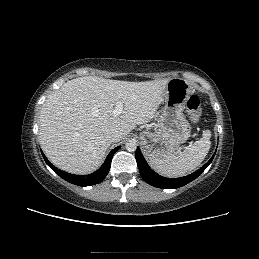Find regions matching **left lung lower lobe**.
I'll use <instances>...</instances> for the list:
<instances>
[{
	"mask_svg": "<svg viewBox=\"0 0 259 259\" xmlns=\"http://www.w3.org/2000/svg\"><path fill=\"white\" fill-rule=\"evenodd\" d=\"M136 160L142 178L150 185L163 189H175L188 184L196 179L212 162L215 154L211 159L196 172L180 178H165L155 173L147 164L139 148L136 150Z\"/></svg>",
	"mask_w": 259,
	"mask_h": 259,
	"instance_id": "obj_1",
	"label": "left lung lower lobe"
}]
</instances>
